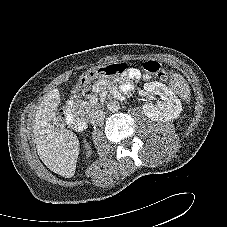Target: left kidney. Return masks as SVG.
<instances>
[{"mask_svg": "<svg viewBox=\"0 0 227 227\" xmlns=\"http://www.w3.org/2000/svg\"><path fill=\"white\" fill-rule=\"evenodd\" d=\"M144 90L149 95H158L162 101L157 104L143 105L144 114L153 121H170L179 117L182 111L180 99L165 84L149 82L144 84Z\"/></svg>", "mask_w": 227, "mask_h": 227, "instance_id": "5707ae66", "label": "left kidney"}]
</instances>
